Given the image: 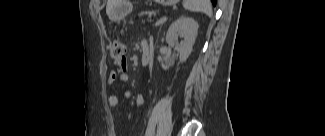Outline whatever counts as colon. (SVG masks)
<instances>
[{
  "mask_svg": "<svg viewBox=\"0 0 325 136\" xmlns=\"http://www.w3.org/2000/svg\"><path fill=\"white\" fill-rule=\"evenodd\" d=\"M125 45L119 41L115 40L110 46V56L115 61H124L125 57Z\"/></svg>",
  "mask_w": 325,
  "mask_h": 136,
  "instance_id": "5ec220e1",
  "label": "colon"
}]
</instances>
